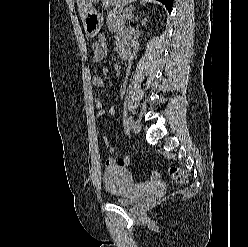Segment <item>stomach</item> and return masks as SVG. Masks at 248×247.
Listing matches in <instances>:
<instances>
[{"instance_id": "stomach-1", "label": "stomach", "mask_w": 248, "mask_h": 247, "mask_svg": "<svg viewBox=\"0 0 248 247\" xmlns=\"http://www.w3.org/2000/svg\"><path fill=\"white\" fill-rule=\"evenodd\" d=\"M103 6L108 7L110 5L125 6L135 0H101ZM85 33L89 37L96 36L103 24V15L99 13L93 5L87 6L86 12L82 18Z\"/></svg>"}]
</instances>
